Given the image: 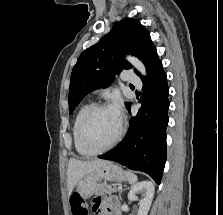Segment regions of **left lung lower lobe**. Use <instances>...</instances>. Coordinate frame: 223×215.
Returning <instances> with one entry per match:
<instances>
[{
	"label": "left lung lower lobe",
	"mask_w": 223,
	"mask_h": 215,
	"mask_svg": "<svg viewBox=\"0 0 223 215\" xmlns=\"http://www.w3.org/2000/svg\"><path fill=\"white\" fill-rule=\"evenodd\" d=\"M142 103L137 115L130 120L125 138L109 152L98 156L125 165L129 169L149 174L160 184L166 161V126L168 124V92L166 73L159 61L141 78ZM130 105L127 109L130 112Z\"/></svg>",
	"instance_id": "0a47b994"
}]
</instances>
